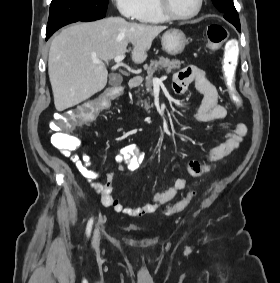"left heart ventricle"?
Wrapping results in <instances>:
<instances>
[{"label":"left heart ventricle","mask_w":280,"mask_h":283,"mask_svg":"<svg viewBox=\"0 0 280 283\" xmlns=\"http://www.w3.org/2000/svg\"><path fill=\"white\" fill-rule=\"evenodd\" d=\"M170 8L179 15L193 12L197 6V0H168Z\"/></svg>","instance_id":"b2bd125f"}]
</instances>
